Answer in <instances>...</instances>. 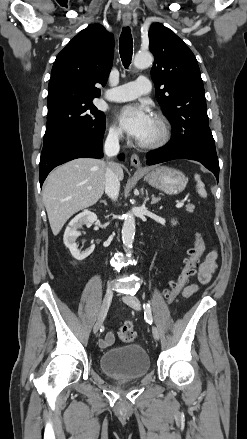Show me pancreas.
Masks as SVG:
<instances>
[{"label":"pancreas","mask_w":247,"mask_h":439,"mask_svg":"<svg viewBox=\"0 0 247 439\" xmlns=\"http://www.w3.org/2000/svg\"><path fill=\"white\" fill-rule=\"evenodd\" d=\"M194 208L195 207L192 204H187L186 205V211L189 212V213H192L194 211Z\"/></svg>","instance_id":"cf45deb5"}]
</instances>
